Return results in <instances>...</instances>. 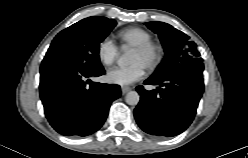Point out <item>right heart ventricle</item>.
I'll list each match as a JSON object with an SVG mask.
<instances>
[{
    "instance_id": "obj_1",
    "label": "right heart ventricle",
    "mask_w": 248,
    "mask_h": 158,
    "mask_svg": "<svg viewBox=\"0 0 248 158\" xmlns=\"http://www.w3.org/2000/svg\"><path fill=\"white\" fill-rule=\"evenodd\" d=\"M116 36L125 44L133 47L151 42L152 40V36L149 32L137 27L123 29L119 31Z\"/></svg>"
}]
</instances>
